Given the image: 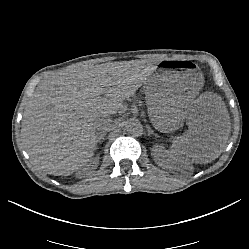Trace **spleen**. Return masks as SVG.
<instances>
[{
    "label": "spleen",
    "instance_id": "1",
    "mask_svg": "<svg viewBox=\"0 0 249 249\" xmlns=\"http://www.w3.org/2000/svg\"><path fill=\"white\" fill-rule=\"evenodd\" d=\"M171 152H172V151H171ZM171 152H170V153H171ZM170 157L174 160V158L172 157V155H171V154H170Z\"/></svg>",
    "mask_w": 249,
    "mask_h": 249
}]
</instances>
